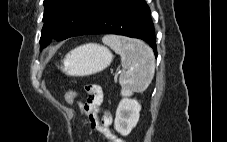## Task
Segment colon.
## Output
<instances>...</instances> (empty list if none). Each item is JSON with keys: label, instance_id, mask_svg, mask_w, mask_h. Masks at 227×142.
I'll return each instance as SVG.
<instances>
[{"label": "colon", "instance_id": "5ec220e1", "mask_svg": "<svg viewBox=\"0 0 227 142\" xmlns=\"http://www.w3.org/2000/svg\"><path fill=\"white\" fill-rule=\"evenodd\" d=\"M74 97H75V91L72 89H69L65 94V101L68 104H71L74 100Z\"/></svg>", "mask_w": 227, "mask_h": 142}]
</instances>
